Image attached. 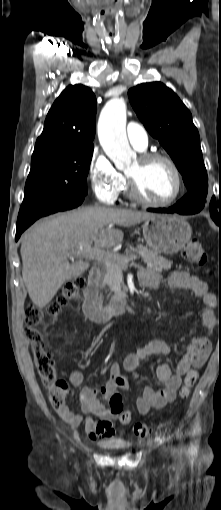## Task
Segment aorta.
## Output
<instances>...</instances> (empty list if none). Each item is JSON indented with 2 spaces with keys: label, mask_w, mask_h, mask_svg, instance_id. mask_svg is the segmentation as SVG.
Listing matches in <instances>:
<instances>
[{
  "label": "aorta",
  "mask_w": 221,
  "mask_h": 510,
  "mask_svg": "<svg viewBox=\"0 0 221 510\" xmlns=\"http://www.w3.org/2000/svg\"><path fill=\"white\" fill-rule=\"evenodd\" d=\"M100 144L116 167L124 170L135 157L126 136V104L122 98L106 103L98 120Z\"/></svg>",
  "instance_id": "aorta-1"
}]
</instances>
